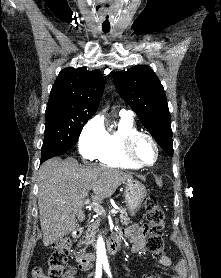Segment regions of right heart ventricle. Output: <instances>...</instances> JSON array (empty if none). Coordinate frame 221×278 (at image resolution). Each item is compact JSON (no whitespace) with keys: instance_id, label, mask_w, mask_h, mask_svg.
Returning <instances> with one entry per match:
<instances>
[{"instance_id":"e07e8e85","label":"right heart ventricle","mask_w":221,"mask_h":278,"mask_svg":"<svg viewBox=\"0 0 221 278\" xmlns=\"http://www.w3.org/2000/svg\"><path fill=\"white\" fill-rule=\"evenodd\" d=\"M137 131V127L131 118L120 115L117 126L106 130L104 141L96 160L100 164L110 167L139 168L128 161L122 152L125 137Z\"/></svg>"}]
</instances>
